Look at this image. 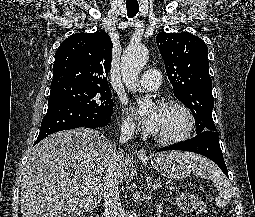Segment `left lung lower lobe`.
<instances>
[{
    "mask_svg": "<svg viewBox=\"0 0 255 217\" xmlns=\"http://www.w3.org/2000/svg\"><path fill=\"white\" fill-rule=\"evenodd\" d=\"M166 150H182L201 154L214 161L224 174L229 177L216 131H202L190 140L161 148L158 151Z\"/></svg>",
    "mask_w": 255,
    "mask_h": 217,
    "instance_id": "obj_1",
    "label": "left lung lower lobe"
}]
</instances>
